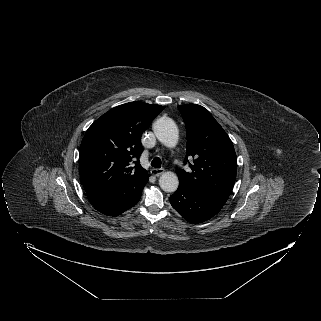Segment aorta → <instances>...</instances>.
<instances>
[{
    "label": "aorta",
    "mask_w": 321,
    "mask_h": 321,
    "mask_svg": "<svg viewBox=\"0 0 321 321\" xmlns=\"http://www.w3.org/2000/svg\"><path fill=\"white\" fill-rule=\"evenodd\" d=\"M153 131L157 139L165 146L174 148L178 143L179 132L175 122L167 117L158 119L153 125ZM159 185L165 192H175L179 185L175 173L167 171L159 178Z\"/></svg>",
    "instance_id": "aorta-1"
}]
</instances>
